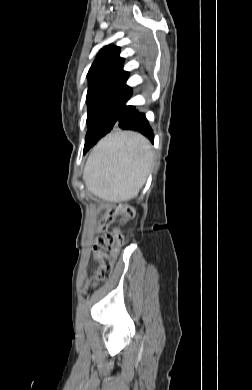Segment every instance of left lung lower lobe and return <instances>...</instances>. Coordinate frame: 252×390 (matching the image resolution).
<instances>
[{"mask_svg":"<svg viewBox=\"0 0 252 390\" xmlns=\"http://www.w3.org/2000/svg\"><path fill=\"white\" fill-rule=\"evenodd\" d=\"M134 130L142 133L152 143L154 134L144 113L135 106H124L117 115L105 114L95 118L88 124L85 137L84 153H86L101 137L112 129Z\"/></svg>","mask_w":252,"mask_h":390,"instance_id":"0a47b994","label":"left lung lower lobe"}]
</instances>
